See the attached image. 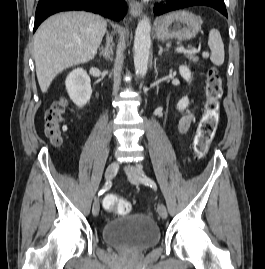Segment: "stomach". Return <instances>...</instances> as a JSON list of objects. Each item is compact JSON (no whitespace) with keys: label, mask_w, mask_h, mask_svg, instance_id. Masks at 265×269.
<instances>
[{"label":"stomach","mask_w":265,"mask_h":269,"mask_svg":"<svg viewBox=\"0 0 265 269\" xmlns=\"http://www.w3.org/2000/svg\"><path fill=\"white\" fill-rule=\"evenodd\" d=\"M201 25L202 19L200 17L187 10H179L157 19L156 36L159 40H189L198 34Z\"/></svg>","instance_id":"1"}]
</instances>
